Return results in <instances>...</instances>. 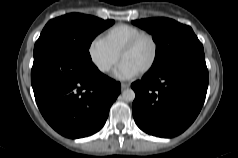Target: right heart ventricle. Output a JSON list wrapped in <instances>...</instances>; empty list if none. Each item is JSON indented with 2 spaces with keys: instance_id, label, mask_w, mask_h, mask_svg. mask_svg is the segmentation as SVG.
Here are the masks:
<instances>
[{
  "instance_id": "obj_1",
  "label": "right heart ventricle",
  "mask_w": 238,
  "mask_h": 158,
  "mask_svg": "<svg viewBox=\"0 0 238 158\" xmlns=\"http://www.w3.org/2000/svg\"><path fill=\"white\" fill-rule=\"evenodd\" d=\"M140 28L128 25L118 24L106 30L102 36L105 42L118 54L124 45L134 36L142 33Z\"/></svg>"
}]
</instances>
